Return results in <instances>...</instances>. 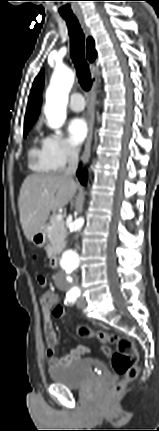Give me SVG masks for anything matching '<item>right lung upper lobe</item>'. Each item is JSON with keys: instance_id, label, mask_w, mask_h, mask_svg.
Listing matches in <instances>:
<instances>
[{"instance_id": "cb5924a9", "label": "right lung upper lobe", "mask_w": 159, "mask_h": 431, "mask_svg": "<svg viewBox=\"0 0 159 431\" xmlns=\"http://www.w3.org/2000/svg\"><path fill=\"white\" fill-rule=\"evenodd\" d=\"M96 57V51L94 49V41L90 37L87 39V58L90 62L94 61ZM43 72L41 71L35 78L30 91V96L28 99V106L26 109V116L24 120V127L32 126L36 121L41 104V91L43 88Z\"/></svg>"}]
</instances>
